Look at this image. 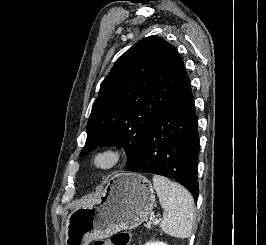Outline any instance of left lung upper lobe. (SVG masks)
Wrapping results in <instances>:
<instances>
[{
	"label": "left lung upper lobe",
	"mask_w": 266,
	"mask_h": 245,
	"mask_svg": "<svg viewBox=\"0 0 266 245\" xmlns=\"http://www.w3.org/2000/svg\"><path fill=\"white\" fill-rule=\"evenodd\" d=\"M186 75L176 48L158 36L124 53L103 80L87 123L80 156L99 146H121L135 162L148 128Z\"/></svg>",
	"instance_id": "left-lung-upper-lobe-1"
}]
</instances>
